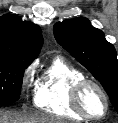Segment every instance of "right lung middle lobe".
Instances as JSON below:
<instances>
[{
	"label": "right lung middle lobe",
	"instance_id": "right-lung-middle-lobe-1",
	"mask_svg": "<svg viewBox=\"0 0 118 123\" xmlns=\"http://www.w3.org/2000/svg\"><path fill=\"white\" fill-rule=\"evenodd\" d=\"M27 66L16 60L0 58V104L13 103L19 99Z\"/></svg>",
	"mask_w": 118,
	"mask_h": 123
}]
</instances>
